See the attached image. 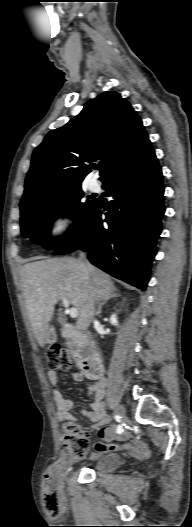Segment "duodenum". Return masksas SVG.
I'll use <instances>...</instances> for the list:
<instances>
[{"label":"duodenum","instance_id":"duodenum-1","mask_svg":"<svg viewBox=\"0 0 192 527\" xmlns=\"http://www.w3.org/2000/svg\"><path fill=\"white\" fill-rule=\"evenodd\" d=\"M63 334L65 337L77 342L79 346L83 347L75 352L82 371L88 376L102 379L103 373L100 356L92 344L86 342L84 337L69 324L64 325Z\"/></svg>","mask_w":192,"mask_h":527}]
</instances>
